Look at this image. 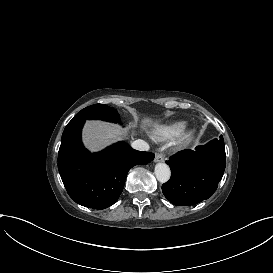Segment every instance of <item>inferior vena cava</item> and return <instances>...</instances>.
Masks as SVG:
<instances>
[{
	"mask_svg": "<svg viewBox=\"0 0 273 273\" xmlns=\"http://www.w3.org/2000/svg\"><path fill=\"white\" fill-rule=\"evenodd\" d=\"M131 147L135 150L145 151L149 149V144L142 139H138L132 142Z\"/></svg>",
	"mask_w": 273,
	"mask_h": 273,
	"instance_id": "inferior-vena-cava-1",
	"label": "inferior vena cava"
}]
</instances>
